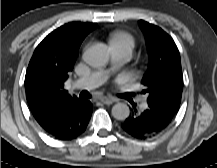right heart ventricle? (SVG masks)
<instances>
[{
    "label": "right heart ventricle",
    "mask_w": 217,
    "mask_h": 168,
    "mask_svg": "<svg viewBox=\"0 0 217 168\" xmlns=\"http://www.w3.org/2000/svg\"><path fill=\"white\" fill-rule=\"evenodd\" d=\"M110 45H121L128 49L130 53H132L134 48V40L133 38L124 32H114L111 34L109 39Z\"/></svg>",
    "instance_id": "1"
}]
</instances>
